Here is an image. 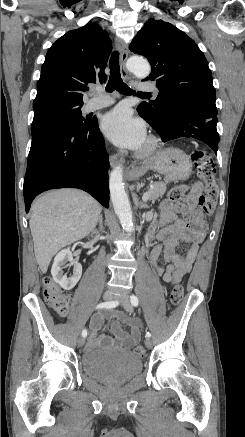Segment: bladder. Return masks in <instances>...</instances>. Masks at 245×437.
I'll list each match as a JSON object with an SVG mask.
<instances>
[{"label":"bladder","mask_w":245,"mask_h":437,"mask_svg":"<svg viewBox=\"0 0 245 437\" xmlns=\"http://www.w3.org/2000/svg\"><path fill=\"white\" fill-rule=\"evenodd\" d=\"M84 373L101 382L121 384L136 376L142 369V361L126 349H94L81 358Z\"/></svg>","instance_id":"31cf9c89"}]
</instances>
